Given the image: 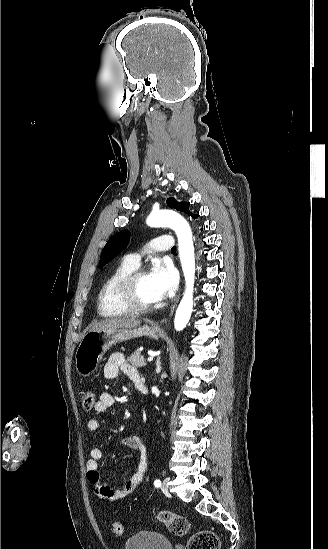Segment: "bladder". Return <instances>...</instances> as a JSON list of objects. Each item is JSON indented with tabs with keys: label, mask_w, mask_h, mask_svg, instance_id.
Here are the masks:
<instances>
[{
	"label": "bladder",
	"mask_w": 328,
	"mask_h": 549,
	"mask_svg": "<svg viewBox=\"0 0 328 549\" xmlns=\"http://www.w3.org/2000/svg\"><path fill=\"white\" fill-rule=\"evenodd\" d=\"M127 541L126 549H172L171 542L159 533L137 532Z\"/></svg>",
	"instance_id": "obj_1"
}]
</instances>
